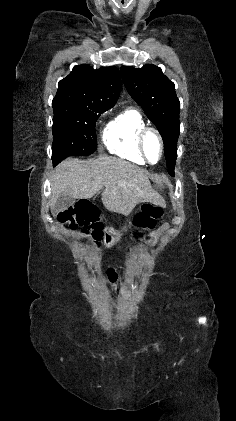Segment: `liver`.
I'll return each instance as SVG.
<instances>
[{
  "mask_svg": "<svg viewBox=\"0 0 236 421\" xmlns=\"http://www.w3.org/2000/svg\"><path fill=\"white\" fill-rule=\"evenodd\" d=\"M50 206L61 196L73 198H92L102 190V202L108 211L130 215L138 202H153L164 206V200L153 190L146 170L135 164L117 158V156H100V158H65L55 168L52 176Z\"/></svg>",
  "mask_w": 236,
  "mask_h": 421,
  "instance_id": "6515ba94",
  "label": "liver"
}]
</instances>
